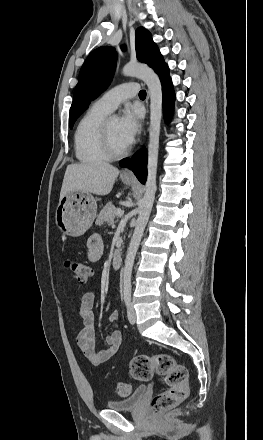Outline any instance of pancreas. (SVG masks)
<instances>
[{"mask_svg":"<svg viewBox=\"0 0 263 440\" xmlns=\"http://www.w3.org/2000/svg\"><path fill=\"white\" fill-rule=\"evenodd\" d=\"M117 208L112 204L108 203L99 213L96 219V225H103L104 223L112 224L115 218V211Z\"/></svg>","mask_w":263,"mask_h":440,"instance_id":"pancreas-1","label":"pancreas"}]
</instances>
